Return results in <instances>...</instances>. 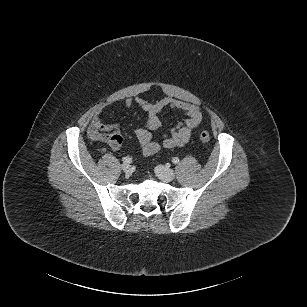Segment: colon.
<instances>
[{
  "mask_svg": "<svg viewBox=\"0 0 307 307\" xmlns=\"http://www.w3.org/2000/svg\"><path fill=\"white\" fill-rule=\"evenodd\" d=\"M199 138L203 143H208L211 139L210 134L206 130L199 133ZM122 141V136L117 132H112L108 139V143L113 149H118L121 146Z\"/></svg>",
  "mask_w": 307,
  "mask_h": 307,
  "instance_id": "1",
  "label": "colon"
}]
</instances>
